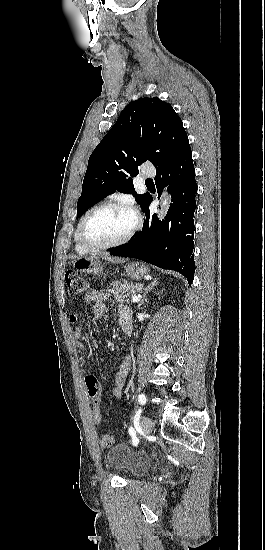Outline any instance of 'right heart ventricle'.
Here are the masks:
<instances>
[{"mask_svg":"<svg viewBox=\"0 0 265 550\" xmlns=\"http://www.w3.org/2000/svg\"><path fill=\"white\" fill-rule=\"evenodd\" d=\"M74 241H75V249L78 253L85 254L89 251L88 249L83 247L81 245V243L79 242L78 237H77V228H76L75 233H74Z\"/></svg>","mask_w":265,"mask_h":550,"instance_id":"e07e8e85","label":"right heart ventricle"}]
</instances>
